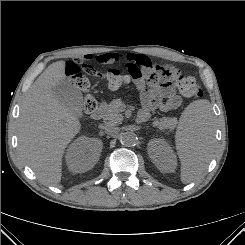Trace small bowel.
<instances>
[{"label":"small bowel","mask_w":245,"mask_h":245,"mask_svg":"<svg viewBox=\"0 0 245 245\" xmlns=\"http://www.w3.org/2000/svg\"><path fill=\"white\" fill-rule=\"evenodd\" d=\"M96 60L104 64L126 62V64H133L139 69L137 76L130 77L139 92L143 106L139 113V120H146L150 112L155 109L169 112L181 106L182 99L171 84L150 81L149 75L154 63L148 56L134 53L107 52L96 56Z\"/></svg>","instance_id":"1"}]
</instances>
